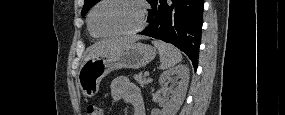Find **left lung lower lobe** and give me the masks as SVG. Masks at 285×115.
Wrapping results in <instances>:
<instances>
[{
	"instance_id": "1",
	"label": "left lung lower lobe",
	"mask_w": 285,
	"mask_h": 115,
	"mask_svg": "<svg viewBox=\"0 0 285 115\" xmlns=\"http://www.w3.org/2000/svg\"><path fill=\"white\" fill-rule=\"evenodd\" d=\"M152 9L149 25L139 34L169 42L191 59L194 69L198 65L203 0H148Z\"/></svg>"
}]
</instances>
